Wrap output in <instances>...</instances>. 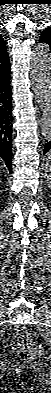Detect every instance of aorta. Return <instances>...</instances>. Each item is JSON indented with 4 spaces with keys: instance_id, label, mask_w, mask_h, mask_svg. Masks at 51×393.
Wrapping results in <instances>:
<instances>
[{
    "instance_id": "1",
    "label": "aorta",
    "mask_w": 51,
    "mask_h": 393,
    "mask_svg": "<svg viewBox=\"0 0 51 393\" xmlns=\"http://www.w3.org/2000/svg\"><path fill=\"white\" fill-rule=\"evenodd\" d=\"M31 79L40 109L43 112L42 134L51 137V55L49 45L39 44L31 61Z\"/></svg>"
}]
</instances>
